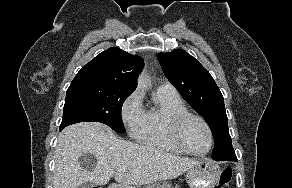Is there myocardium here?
Listing matches in <instances>:
<instances>
[{
    "instance_id": "myocardium-1",
    "label": "myocardium",
    "mask_w": 292,
    "mask_h": 188,
    "mask_svg": "<svg viewBox=\"0 0 292 188\" xmlns=\"http://www.w3.org/2000/svg\"><path fill=\"white\" fill-rule=\"evenodd\" d=\"M190 119H196L198 121H200L209 136V146L208 149L204 152H195L193 150H191L184 142L183 137H182V130L184 125L186 124V122ZM170 132H171V136L174 140V142L185 152L191 155H195V156H205L207 154L210 153V151L212 150L213 144H214V137H213V132L212 129L209 125V123L200 115L192 113V112H183V113H179L175 116L172 117L171 121H170Z\"/></svg>"
}]
</instances>
